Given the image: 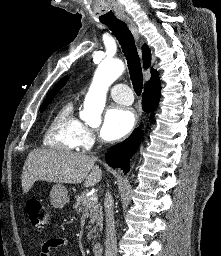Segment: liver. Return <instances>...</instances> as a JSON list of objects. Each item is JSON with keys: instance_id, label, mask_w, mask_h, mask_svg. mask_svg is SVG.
I'll list each match as a JSON object with an SVG mask.
<instances>
[{"instance_id": "1", "label": "liver", "mask_w": 221, "mask_h": 256, "mask_svg": "<svg viewBox=\"0 0 221 256\" xmlns=\"http://www.w3.org/2000/svg\"><path fill=\"white\" fill-rule=\"evenodd\" d=\"M96 158L62 149H35L28 154L22 171V189L28 193L36 181L79 184L91 187L102 179Z\"/></svg>"}]
</instances>
